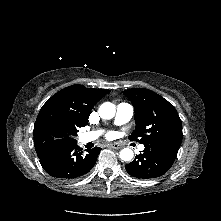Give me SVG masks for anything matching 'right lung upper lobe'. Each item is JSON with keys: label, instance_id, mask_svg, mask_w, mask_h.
I'll return each mask as SVG.
<instances>
[{"label": "right lung upper lobe", "instance_id": "cb5924a9", "mask_svg": "<svg viewBox=\"0 0 221 221\" xmlns=\"http://www.w3.org/2000/svg\"><path fill=\"white\" fill-rule=\"evenodd\" d=\"M110 91L107 89L86 88L75 84L54 94L41 108L37 120L53 118L85 126L93 106Z\"/></svg>", "mask_w": 221, "mask_h": 221}]
</instances>
